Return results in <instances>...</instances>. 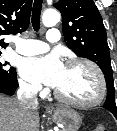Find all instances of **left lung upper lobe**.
Segmentation results:
<instances>
[{
  "label": "left lung upper lobe",
  "instance_id": "5c2ea615",
  "mask_svg": "<svg viewBox=\"0 0 117 131\" xmlns=\"http://www.w3.org/2000/svg\"><path fill=\"white\" fill-rule=\"evenodd\" d=\"M54 7L62 14L66 45L78 56L95 62L103 71L107 84L104 108L117 113L107 34L98 8L93 0H59Z\"/></svg>",
  "mask_w": 117,
  "mask_h": 131
}]
</instances>
